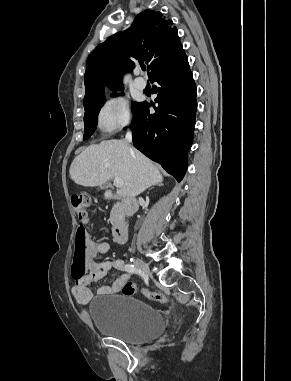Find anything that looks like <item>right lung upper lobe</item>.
<instances>
[{
  "mask_svg": "<svg viewBox=\"0 0 291 381\" xmlns=\"http://www.w3.org/2000/svg\"><path fill=\"white\" fill-rule=\"evenodd\" d=\"M173 22L160 12H141L132 26L109 37L87 59L85 98L87 104L103 95L105 84L112 89L122 87L125 70L132 71L135 60L145 61L149 76L182 50Z\"/></svg>",
  "mask_w": 291,
  "mask_h": 381,
  "instance_id": "obj_1",
  "label": "right lung upper lobe"
}]
</instances>
